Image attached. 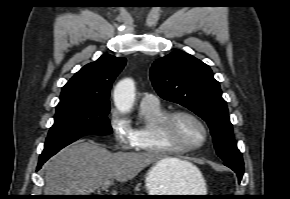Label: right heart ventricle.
Segmentation results:
<instances>
[{
  "label": "right heart ventricle",
  "mask_w": 290,
  "mask_h": 199,
  "mask_svg": "<svg viewBox=\"0 0 290 199\" xmlns=\"http://www.w3.org/2000/svg\"><path fill=\"white\" fill-rule=\"evenodd\" d=\"M139 111L141 122L137 123L132 128V148L137 152L158 156L181 154L176 150L167 148L157 134L158 124L167 115L168 112L160 105H140Z\"/></svg>",
  "instance_id": "1"
}]
</instances>
